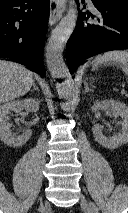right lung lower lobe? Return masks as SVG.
Wrapping results in <instances>:
<instances>
[{"mask_svg":"<svg viewBox=\"0 0 128 213\" xmlns=\"http://www.w3.org/2000/svg\"><path fill=\"white\" fill-rule=\"evenodd\" d=\"M49 0H0V57L12 58L45 75L42 51Z\"/></svg>","mask_w":128,"mask_h":213,"instance_id":"obj_1","label":"right lung lower lobe"}]
</instances>
